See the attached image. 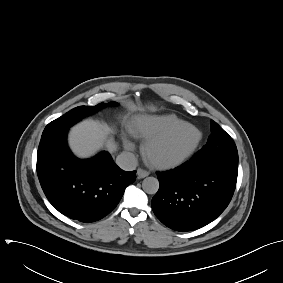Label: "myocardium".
Segmentation results:
<instances>
[{
    "label": "myocardium",
    "mask_w": 283,
    "mask_h": 283,
    "mask_svg": "<svg viewBox=\"0 0 283 283\" xmlns=\"http://www.w3.org/2000/svg\"><path fill=\"white\" fill-rule=\"evenodd\" d=\"M183 127H189L196 132V139L193 142V144L183 154H181L180 156L174 159L156 158L153 155L154 149L167 142L178 130H180ZM202 138H203L202 132L198 127H196L195 125L189 122H182L172 127L165 133L155 138L146 140V142L142 146V154L145 160L155 168L163 169V170L174 169L186 163L195 154V152L197 151L198 147L201 144Z\"/></svg>",
    "instance_id": "myocardium-1"
}]
</instances>
